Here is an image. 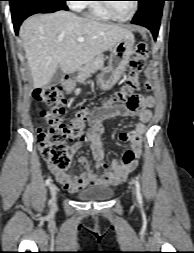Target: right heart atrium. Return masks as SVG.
Listing matches in <instances>:
<instances>
[{"instance_id":"right-heart-atrium-1","label":"right heart atrium","mask_w":194,"mask_h":253,"mask_svg":"<svg viewBox=\"0 0 194 253\" xmlns=\"http://www.w3.org/2000/svg\"><path fill=\"white\" fill-rule=\"evenodd\" d=\"M84 0H71L70 7L76 11H80L85 7Z\"/></svg>"}]
</instances>
